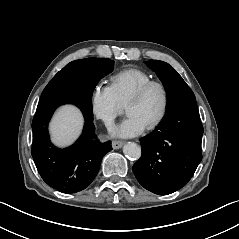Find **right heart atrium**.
Segmentation results:
<instances>
[{
  "label": "right heart atrium",
  "instance_id": "right-heart-atrium-1",
  "mask_svg": "<svg viewBox=\"0 0 239 239\" xmlns=\"http://www.w3.org/2000/svg\"><path fill=\"white\" fill-rule=\"evenodd\" d=\"M90 110L93 116L111 126L115 117L123 110L124 105L119 100L111 85L96 83L89 94Z\"/></svg>",
  "mask_w": 239,
  "mask_h": 239
}]
</instances>
